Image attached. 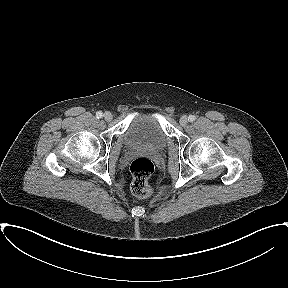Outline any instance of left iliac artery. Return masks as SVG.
Returning <instances> with one entry per match:
<instances>
[{
  "label": "left iliac artery",
  "instance_id": "44dca946",
  "mask_svg": "<svg viewBox=\"0 0 288 288\" xmlns=\"http://www.w3.org/2000/svg\"><path fill=\"white\" fill-rule=\"evenodd\" d=\"M196 117L194 115H189L188 121L193 122L195 121Z\"/></svg>",
  "mask_w": 288,
  "mask_h": 288
}]
</instances>
